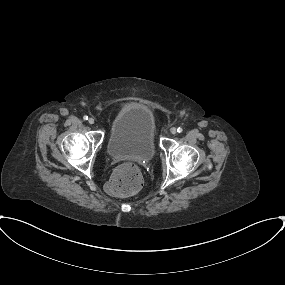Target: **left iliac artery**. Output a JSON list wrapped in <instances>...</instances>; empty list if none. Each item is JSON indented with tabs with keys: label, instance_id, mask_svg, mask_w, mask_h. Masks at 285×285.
<instances>
[{
	"label": "left iliac artery",
	"instance_id": "obj_1",
	"mask_svg": "<svg viewBox=\"0 0 285 285\" xmlns=\"http://www.w3.org/2000/svg\"><path fill=\"white\" fill-rule=\"evenodd\" d=\"M183 131V129L181 128V127H179L178 129H177V132L178 133H181Z\"/></svg>",
	"mask_w": 285,
	"mask_h": 285
}]
</instances>
